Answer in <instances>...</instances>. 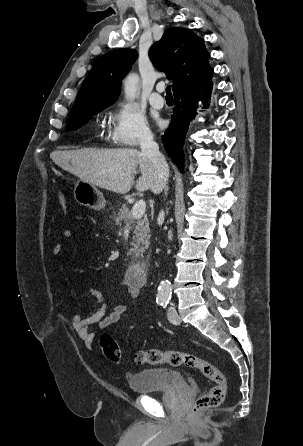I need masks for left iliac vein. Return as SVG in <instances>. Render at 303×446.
Wrapping results in <instances>:
<instances>
[{
  "label": "left iliac vein",
  "instance_id": "1",
  "mask_svg": "<svg viewBox=\"0 0 303 446\" xmlns=\"http://www.w3.org/2000/svg\"><path fill=\"white\" fill-rule=\"evenodd\" d=\"M167 317L168 320L173 324H179L180 323V317L174 307H169L167 310Z\"/></svg>",
  "mask_w": 303,
  "mask_h": 446
}]
</instances>
